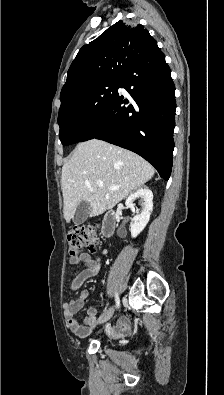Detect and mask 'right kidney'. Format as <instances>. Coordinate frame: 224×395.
I'll list each match as a JSON object with an SVG mask.
<instances>
[{"instance_id":"right-kidney-1","label":"right kidney","mask_w":224,"mask_h":395,"mask_svg":"<svg viewBox=\"0 0 224 395\" xmlns=\"http://www.w3.org/2000/svg\"><path fill=\"white\" fill-rule=\"evenodd\" d=\"M137 198H141L142 210L141 213L135 215L132 220L130 229L132 238H136L143 231L149 222L153 210V193L150 189L147 187L140 188L126 199L125 204L132 212H135L134 201Z\"/></svg>"}]
</instances>
